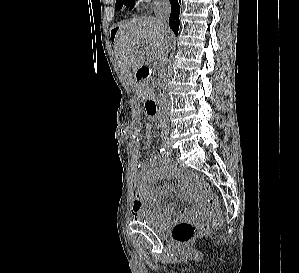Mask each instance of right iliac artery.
I'll list each match as a JSON object with an SVG mask.
<instances>
[{"label":"right iliac artery","instance_id":"obj_1","mask_svg":"<svg viewBox=\"0 0 299 273\" xmlns=\"http://www.w3.org/2000/svg\"><path fill=\"white\" fill-rule=\"evenodd\" d=\"M160 153L165 158L169 157V152L165 148H160Z\"/></svg>","mask_w":299,"mask_h":273}]
</instances>
